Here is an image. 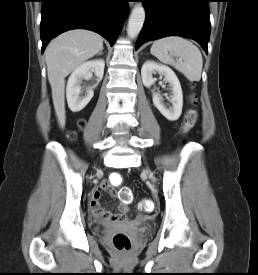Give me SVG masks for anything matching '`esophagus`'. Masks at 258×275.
Instances as JSON below:
<instances>
[{"label":"esophagus","instance_id":"esophagus-1","mask_svg":"<svg viewBox=\"0 0 258 275\" xmlns=\"http://www.w3.org/2000/svg\"><path fill=\"white\" fill-rule=\"evenodd\" d=\"M130 6H133V4H132V3H130Z\"/></svg>","mask_w":258,"mask_h":275}]
</instances>
